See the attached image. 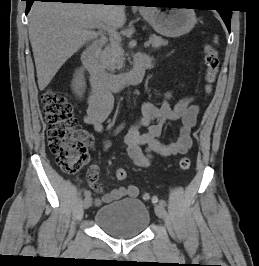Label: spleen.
Segmentation results:
<instances>
[{
	"label": "spleen",
	"mask_w": 259,
	"mask_h": 266,
	"mask_svg": "<svg viewBox=\"0 0 259 266\" xmlns=\"http://www.w3.org/2000/svg\"><path fill=\"white\" fill-rule=\"evenodd\" d=\"M214 42H215V43L218 42V37H217V36H215V38H214Z\"/></svg>",
	"instance_id": "obj_1"
}]
</instances>
